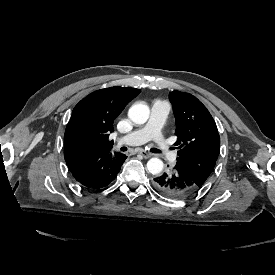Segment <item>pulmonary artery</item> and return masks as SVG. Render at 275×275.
<instances>
[{"mask_svg": "<svg viewBox=\"0 0 275 275\" xmlns=\"http://www.w3.org/2000/svg\"><path fill=\"white\" fill-rule=\"evenodd\" d=\"M153 110L151 111V120L145 125L137 127L131 133L119 138L116 141L117 145H139L150 138L157 149L162 153L171 163L176 164L179 161L177 154L167 145V139L159 130L164 124L165 113L170 109V104L163 98H158L153 103Z\"/></svg>", "mask_w": 275, "mask_h": 275, "instance_id": "1", "label": "pulmonary artery"}]
</instances>
